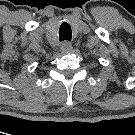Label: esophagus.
Here are the masks:
<instances>
[{
	"label": "esophagus",
	"instance_id": "obj_1",
	"mask_svg": "<svg viewBox=\"0 0 135 135\" xmlns=\"http://www.w3.org/2000/svg\"><path fill=\"white\" fill-rule=\"evenodd\" d=\"M71 50L72 45L69 42H64L60 47V52L64 54L71 52Z\"/></svg>",
	"mask_w": 135,
	"mask_h": 135
}]
</instances>
